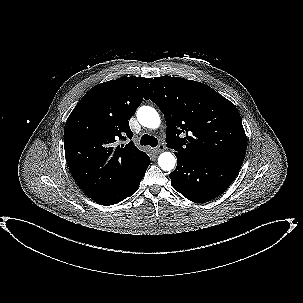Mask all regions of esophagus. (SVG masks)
I'll return each mask as SVG.
<instances>
[{"label":"esophagus","instance_id":"obj_1","mask_svg":"<svg viewBox=\"0 0 303 303\" xmlns=\"http://www.w3.org/2000/svg\"><path fill=\"white\" fill-rule=\"evenodd\" d=\"M164 150V146L162 144H160L157 148L154 149V152L156 154L162 152Z\"/></svg>","mask_w":303,"mask_h":303}]
</instances>
